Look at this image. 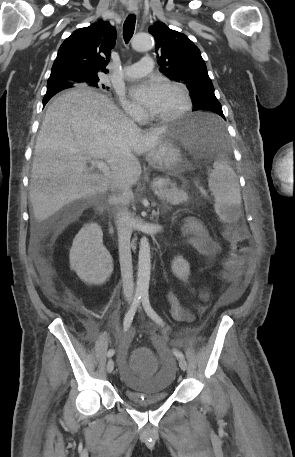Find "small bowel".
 Masks as SVG:
<instances>
[{
	"instance_id": "c3829d8e",
	"label": "small bowel",
	"mask_w": 295,
	"mask_h": 457,
	"mask_svg": "<svg viewBox=\"0 0 295 457\" xmlns=\"http://www.w3.org/2000/svg\"><path fill=\"white\" fill-rule=\"evenodd\" d=\"M182 232L187 237L188 243L201 255L213 257L219 253V244L209 236L205 227L198 220L194 218L187 219L182 226ZM242 290V286L233 284L227 289L226 297L229 300H234L241 294ZM206 297L207 295L205 293H201L202 299H206ZM167 299L170 304L171 316L175 321L190 322L194 319L192 312L181 304L176 294L169 292ZM131 336L132 331L126 335V340H129ZM154 341L160 342L157 337H154Z\"/></svg>"
}]
</instances>
